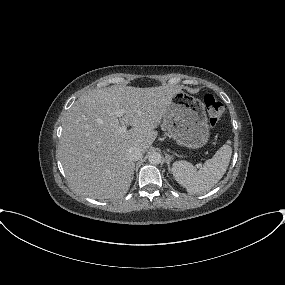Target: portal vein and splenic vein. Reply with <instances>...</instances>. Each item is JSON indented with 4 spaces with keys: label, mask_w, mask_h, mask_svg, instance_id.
Here are the masks:
<instances>
[{
    "label": "portal vein and splenic vein",
    "mask_w": 285,
    "mask_h": 285,
    "mask_svg": "<svg viewBox=\"0 0 285 285\" xmlns=\"http://www.w3.org/2000/svg\"><path fill=\"white\" fill-rule=\"evenodd\" d=\"M125 113V110L124 109H119V110H116L115 111V114L117 117H122ZM127 130V127L126 125H122L120 128H119V132H126Z\"/></svg>",
    "instance_id": "18ae733b"
}]
</instances>
